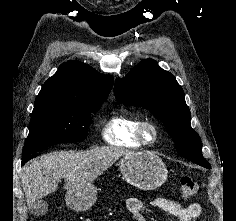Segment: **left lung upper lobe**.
Here are the masks:
<instances>
[{"label": "left lung upper lobe", "mask_w": 236, "mask_h": 221, "mask_svg": "<svg viewBox=\"0 0 236 221\" xmlns=\"http://www.w3.org/2000/svg\"><path fill=\"white\" fill-rule=\"evenodd\" d=\"M114 94L119 103L123 100L150 110L167 128L180 155L211 168L202 155L200 136L191 127L183 89L174 75L160 68L156 61L145 59L124 78H117Z\"/></svg>", "instance_id": "5c2ea615"}]
</instances>
